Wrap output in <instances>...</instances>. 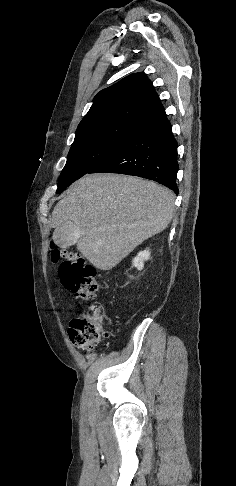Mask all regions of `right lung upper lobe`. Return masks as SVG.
Here are the masks:
<instances>
[{
  "label": "right lung upper lobe",
  "instance_id": "1",
  "mask_svg": "<svg viewBox=\"0 0 236 486\" xmlns=\"http://www.w3.org/2000/svg\"><path fill=\"white\" fill-rule=\"evenodd\" d=\"M162 110L164 107L148 77L142 72L130 74L94 97L76 135L115 124H140Z\"/></svg>",
  "mask_w": 236,
  "mask_h": 486
}]
</instances>
